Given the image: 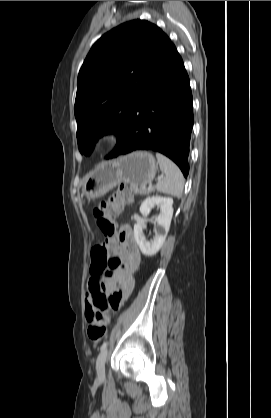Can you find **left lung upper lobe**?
Listing matches in <instances>:
<instances>
[{
    "label": "left lung upper lobe",
    "mask_w": 271,
    "mask_h": 418,
    "mask_svg": "<svg viewBox=\"0 0 271 418\" xmlns=\"http://www.w3.org/2000/svg\"><path fill=\"white\" fill-rule=\"evenodd\" d=\"M172 45L156 25L137 19L112 29L92 46L79 71L74 106L81 153L90 155L104 134L122 132Z\"/></svg>",
    "instance_id": "left-lung-upper-lobe-1"
}]
</instances>
